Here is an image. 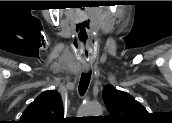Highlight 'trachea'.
Masks as SVG:
<instances>
[{
    "instance_id": "1",
    "label": "trachea",
    "mask_w": 172,
    "mask_h": 123,
    "mask_svg": "<svg viewBox=\"0 0 172 123\" xmlns=\"http://www.w3.org/2000/svg\"><path fill=\"white\" fill-rule=\"evenodd\" d=\"M90 79H91V71L87 74H82L79 83V92L81 95H83L86 92L88 85L90 83Z\"/></svg>"
}]
</instances>
